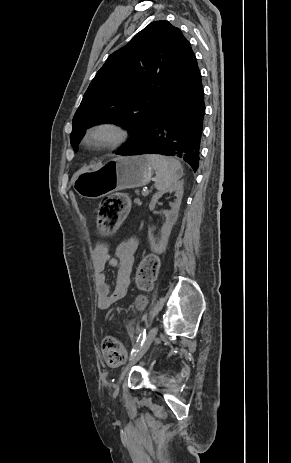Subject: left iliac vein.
Returning a JSON list of instances; mask_svg holds the SVG:
<instances>
[{
  "instance_id": "obj_1",
  "label": "left iliac vein",
  "mask_w": 291,
  "mask_h": 463,
  "mask_svg": "<svg viewBox=\"0 0 291 463\" xmlns=\"http://www.w3.org/2000/svg\"><path fill=\"white\" fill-rule=\"evenodd\" d=\"M156 334H157V327H152L150 331L148 332L142 346L139 348L138 352H136V354L132 356L130 362H128L127 365L122 370L120 378H119V383H121L124 380L128 372L130 371L131 367L134 364H136L142 358V356L147 352Z\"/></svg>"
}]
</instances>
